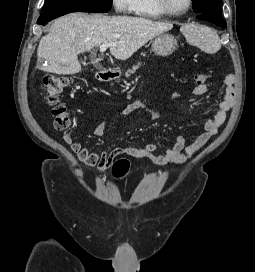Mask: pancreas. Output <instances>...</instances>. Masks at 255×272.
<instances>
[{
	"label": "pancreas",
	"mask_w": 255,
	"mask_h": 272,
	"mask_svg": "<svg viewBox=\"0 0 255 272\" xmlns=\"http://www.w3.org/2000/svg\"><path fill=\"white\" fill-rule=\"evenodd\" d=\"M141 63H138L137 65H133L131 69H128V71L125 73V77L128 78L131 74H133L139 67Z\"/></svg>",
	"instance_id": "pancreas-1"
}]
</instances>
